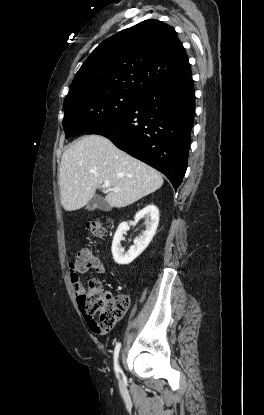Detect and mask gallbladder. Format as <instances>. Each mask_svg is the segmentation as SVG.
<instances>
[{
    "mask_svg": "<svg viewBox=\"0 0 264 415\" xmlns=\"http://www.w3.org/2000/svg\"><path fill=\"white\" fill-rule=\"evenodd\" d=\"M96 208L102 209V210H108L110 207L108 203L100 196L93 197L89 203L86 206V209L89 211H92Z\"/></svg>",
    "mask_w": 264,
    "mask_h": 415,
    "instance_id": "obj_1",
    "label": "gallbladder"
}]
</instances>
